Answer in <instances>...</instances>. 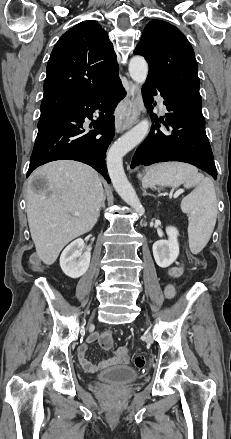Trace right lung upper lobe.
<instances>
[{
	"label": "right lung upper lobe",
	"mask_w": 231,
	"mask_h": 439,
	"mask_svg": "<svg viewBox=\"0 0 231 439\" xmlns=\"http://www.w3.org/2000/svg\"><path fill=\"white\" fill-rule=\"evenodd\" d=\"M107 32L94 20L64 33L52 50L44 81L40 119L106 90L118 78Z\"/></svg>",
	"instance_id": "1"
}]
</instances>
